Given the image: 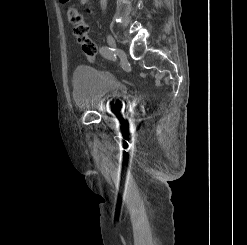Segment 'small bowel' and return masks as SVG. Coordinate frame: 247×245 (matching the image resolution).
I'll return each mask as SVG.
<instances>
[{
    "mask_svg": "<svg viewBox=\"0 0 247 245\" xmlns=\"http://www.w3.org/2000/svg\"><path fill=\"white\" fill-rule=\"evenodd\" d=\"M80 1V0H79ZM80 3H82L81 1H80ZM87 2H85V3H82V4H86Z\"/></svg>",
    "mask_w": 247,
    "mask_h": 245,
    "instance_id": "obj_1",
    "label": "small bowel"
}]
</instances>
